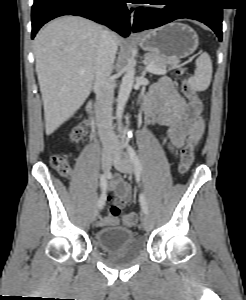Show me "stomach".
Returning a JSON list of instances; mask_svg holds the SVG:
<instances>
[{
  "label": "stomach",
  "mask_w": 246,
  "mask_h": 300,
  "mask_svg": "<svg viewBox=\"0 0 246 300\" xmlns=\"http://www.w3.org/2000/svg\"><path fill=\"white\" fill-rule=\"evenodd\" d=\"M139 46L170 63H178L197 49L199 38L190 26L172 22L142 34Z\"/></svg>",
  "instance_id": "1"
}]
</instances>
